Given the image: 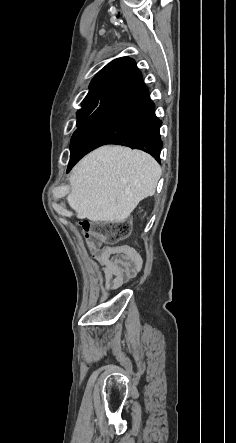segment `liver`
Segmentation results:
<instances>
[{
	"label": "liver",
	"instance_id": "obj_1",
	"mask_svg": "<svg viewBox=\"0 0 236 443\" xmlns=\"http://www.w3.org/2000/svg\"><path fill=\"white\" fill-rule=\"evenodd\" d=\"M160 176L161 167L149 154L102 146L72 170L67 201L79 219L124 222L140 201L155 194Z\"/></svg>",
	"mask_w": 236,
	"mask_h": 443
}]
</instances>
